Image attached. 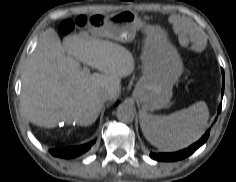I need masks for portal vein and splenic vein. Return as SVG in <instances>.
I'll return each instance as SVG.
<instances>
[{
	"instance_id": "obj_1",
	"label": "portal vein and splenic vein",
	"mask_w": 236,
	"mask_h": 182,
	"mask_svg": "<svg viewBox=\"0 0 236 182\" xmlns=\"http://www.w3.org/2000/svg\"><path fill=\"white\" fill-rule=\"evenodd\" d=\"M84 71H85V72H89V68L85 67V68H84Z\"/></svg>"
}]
</instances>
